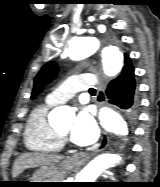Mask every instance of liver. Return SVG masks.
Returning <instances> with one entry per match:
<instances>
[{"mask_svg":"<svg viewBox=\"0 0 160 187\" xmlns=\"http://www.w3.org/2000/svg\"><path fill=\"white\" fill-rule=\"evenodd\" d=\"M62 159L63 157L58 155L24 153L15 160L12 169V176L15 178L28 168L53 166Z\"/></svg>","mask_w":160,"mask_h":187,"instance_id":"1","label":"liver"}]
</instances>
